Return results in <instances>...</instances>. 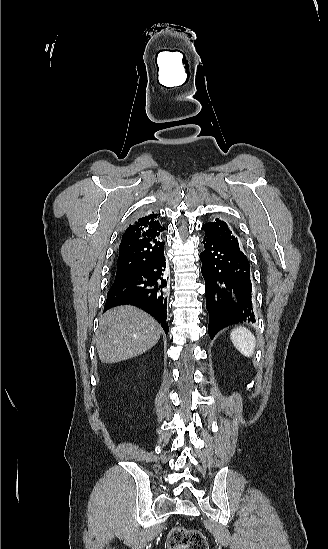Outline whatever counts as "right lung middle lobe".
Masks as SVG:
<instances>
[{"label": "right lung middle lobe", "instance_id": "obj_1", "mask_svg": "<svg viewBox=\"0 0 328 549\" xmlns=\"http://www.w3.org/2000/svg\"><path fill=\"white\" fill-rule=\"evenodd\" d=\"M117 282H119V280H118V278H115V282H114V283H117Z\"/></svg>", "mask_w": 328, "mask_h": 549}]
</instances>
